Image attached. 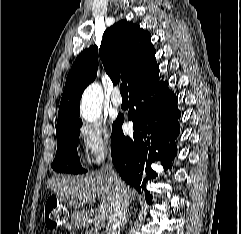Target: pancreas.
Masks as SVG:
<instances>
[{"instance_id":"obj_1","label":"pancreas","mask_w":241,"mask_h":234,"mask_svg":"<svg viewBox=\"0 0 241 234\" xmlns=\"http://www.w3.org/2000/svg\"><path fill=\"white\" fill-rule=\"evenodd\" d=\"M87 234H98V232L96 231V229H90Z\"/></svg>"}]
</instances>
